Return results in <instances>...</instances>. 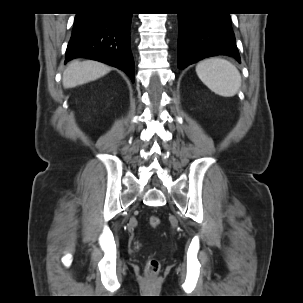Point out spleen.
Returning a JSON list of instances; mask_svg holds the SVG:
<instances>
[{
  "label": "spleen",
  "instance_id": "1",
  "mask_svg": "<svg viewBox=\"0 0 303 303\" xmlns=\"http://www.w3.org/2000/svg\"><path fill=\"white\" fill-rule=\"evenodd\" d=\"M196 73L212 92L222 97H233L241 86L238 69L225 59H205L197 64Z\"/></svg>",
  "mask_w": 303,
  "mask_h": 303
}]
</instances>
